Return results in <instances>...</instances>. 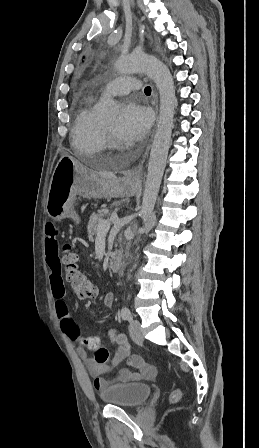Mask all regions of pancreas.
<instances>
[{
    "instance_id": "1",
    "label": "pancreas",
    "mask_w": 259,
    "mask_h": 448,
    "mask_svg": "<svg viewBox=\"0 0 259 448\" xmlns=\"http://www.w3.org/2000/svg\"><path fill=\"white\" fill-rule=\"evenodd\" d=\"M107 210H98V212H94L92 216H90V222H88V238L93 242L96 234H98V224L104 220V216H107ZM117 252V250H116Z\"/></svg>"
}]
</instances>
